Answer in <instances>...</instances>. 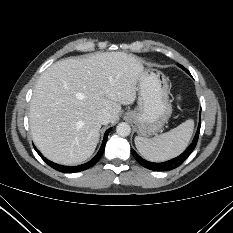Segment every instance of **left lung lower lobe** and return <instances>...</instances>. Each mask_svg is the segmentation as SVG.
<instances>
[{"label": "left lung lower lobe", "instance_id": "left-lung-lower-lobe-1", "mask_svg": "<svg viewBox=\"0 0 233 233\" xmlns=\"http://www.w3.org/2000/svg\"><path fill=\"white\" fill-rule=\"evenodd\" d=\"M200 125L201 124L199 122V126L197 129L196 135H195L191 145L180 156H178L174 159H171V160L163 162V163H153V162H149V161L141 158L133 149H132V154L135 157V159L142 166H144L147 169L155 170V171L172 170V169L178 167L179 165H181L187 159V157L192 153V151L194 150V148L197 144V141H198V137H199Z\"/></svg>", "mask_w": 233, "mask_h": 233}]
</instances>
